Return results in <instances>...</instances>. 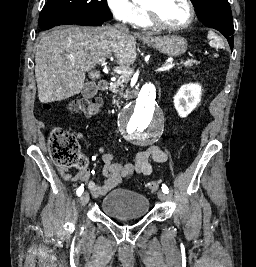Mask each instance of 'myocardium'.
Returning a JSON list of instances; mask_svg holds the SVG:
<instances>
[{
  "label": "myocardium",
  "mask_w": 256,
  "mask_h": 267,
  "mask_svg": "<svg viewBox=\"0 0 256 267\" xmlns=\"http://www.w3.org/2000/svg\"><path fill=\"white\" fill-rule=\"evenodd\" d=\"M149 1H159V0H147L145 2V8H146V21L145 22H151L152 21V9L149 6ZM182 3L186 5L189 11V16L188 19L180 25H164V26H158V25H151L149 27H154L158 30L161 31H168V32H176L180 30H184L188 28L194 21L195 19V10L193 4L189 0H179Z\"/></svg>",
  "instance_id": "myocardium-1"
}]
</instances>
